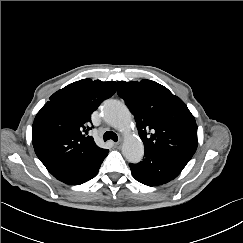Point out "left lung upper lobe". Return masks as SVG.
Wrapping results in <instances>:
<instances>
[{"mask_svg": "<svg viewBox=\"0 0 243 243\" xmlns=\"http://www.w3.org/2000/svg\"><path fill=\"white\" fill-rule=\"evenodd\" d=\"M117 84V93L134 115L145 148L194 155L198 145L197 125L182 100L151 80Z\"/></svg>", "mask_w": 243, "mask_h": 243, "instance_id": "left-lung-upper-lobe-1", "label": "left lung upper lobe"}]
</instances>
